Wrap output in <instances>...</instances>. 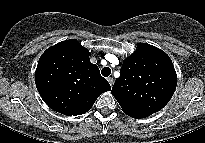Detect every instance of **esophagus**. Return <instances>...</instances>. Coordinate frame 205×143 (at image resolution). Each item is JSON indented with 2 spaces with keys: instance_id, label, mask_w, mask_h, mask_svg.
Segmentation results:
<instances>
[{
  "instance_id": "34e87169",
  "label": "esophagus",
  "mask_w": 205,
  "mask_h": 143,
  "mask_svg": "<svg viewBox=\"0 0 205 143\" xmlns=\"http://www.w3.org/2000/svg\"><path fill=\"white\" fill-rule=\"evenodd\" d=\"M107 81L109 82V84H110L111 86H113V84H114V79H113V77H108V78H107Z\"/></svg>"
}]
</instances>
